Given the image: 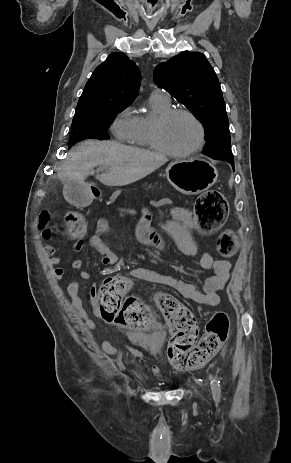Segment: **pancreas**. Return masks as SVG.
<instances>
[{
    "mask_svg": "<svg viewBox=\"0 0 291 463\" xmlns=\"http://www.w3.org/2000/svg\"><path fill=\"white\" fill-rule=\"evenodd\" d=\"M164 190L161 183H145L141 186V191L145 194H159Z\"/></svg>",
    "mask_w": 291,
    "mask_h": 463,
    "instance_id": "pancreas-1",
    "label": "pancreas"
}]
</instances>
